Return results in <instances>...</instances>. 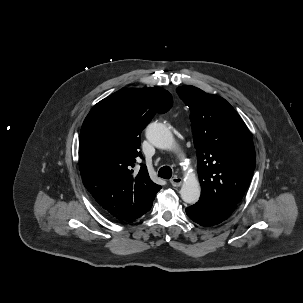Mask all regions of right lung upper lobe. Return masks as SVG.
<instances>
[{
	"mask_svg": "<svg viewBox=\"0 0 303 303\" xmlns=\"http://www.w3.org/2000/svg\"><path fill=\"white\" fill-rule=\"evenodd\" d=\"M172 107V97L160 88L119 90L98 102L85 118L79 163L85 188L97 203L119 221H133L152 204L161 186L147 168L133 167L142 158L140 134L156 112Z\"/></svg>",
	"mask_w": 303,
	"mask_h": 303,
	"instance_id": "right-lung-upper-lobe-1",
	"label": "right lung upper lobe"
}]
</instances>
